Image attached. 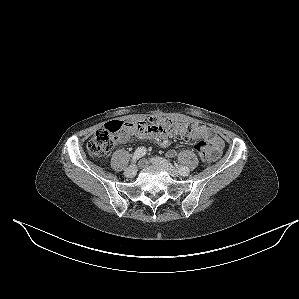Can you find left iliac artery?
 <instances>
[{
	"mask_svg": "<svg viewBox=\"0 0 299 299\" xmlns=\"http://www.w3.org/2000/svg\"><path fill=\"white\" fill-rule=\"evenodd\" d=\"M179 173L181 174V175H183V176H187L188 174H189V168L188 167H183V166H181L180 168H179Z\"/></svg>",
	"mask_w": 299,
	"mask_h": 299,
	"instance_id": "obj_1",
	"label": "left iliac artery"
}]
</instances>
